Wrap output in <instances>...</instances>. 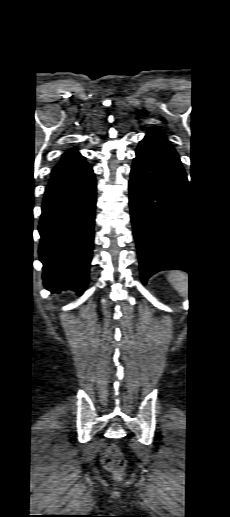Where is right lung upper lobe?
Returning <instances> with one entry per match:
<instances>
[{"label": "right lung upper lobe", "instance_id": "obj_1", "mask_svg": "<svg viewBox=\"0 0 230 517\" xmlns=\"http://www.w3.org/2000/svg\"><path fill=\"white\" fill-rule=\"evenodd\" d=\"M85 163V159L77 150H70L62 155L60 162L54 168L51 177H58L66 174Z\"/></svg>", "mask_w": 230, "mask_h": 517}]
</instances>
